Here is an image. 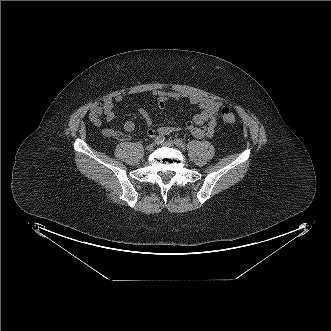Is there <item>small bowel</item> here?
Wrapping results in <instances>:
<instances>
[{
	"label": "small bowel",
	"mask_w": 331,
	"mask_h": 331,
	"mask_svg": "<svg viewBox=\"0 0 331 331\" xmlns=\"http://www.w3.org/2000/svg\"><path fill=\"white\" fill-rule=\"evenodd\" d=\"M149 96L156 99L159 109L164 110L168 104L180 99H186L190 104L196 105L201 112L194 115L192 121L186 123L184 129L195 138L211 137L214 134L215 128L219 121V112L222 108V103L212 98L190 94L178 93L175 91L153 90L149 92ZM123 100L122 95L106 96L100 103L95 104L89 114L91 122L99 127L102 124L101 116L104 115L108 122L115 118L114 105ZM138 113L144 118L146 133L150 137L165 136L179 130L178 127L164 125L154 127L149 112L143 108H138ZM135 129V124L132 121H126L122 125V130L126 133H131ZM105 135L114 137L119 140L129 139L128 135L123 134L118 129H106Z\"/></svg>",
	"instance_id": "1"
}]
</instances>
